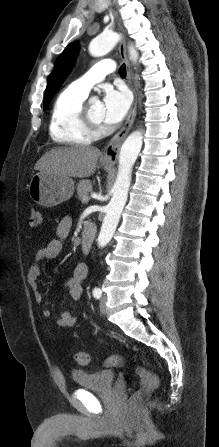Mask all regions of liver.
I'll list each match as a JSON object with an SVG mask.
<instances>
[{"mask_svg": "<svg viewBox=\"0 0 219 447\" xmlns=\"http://www.w3.org/2000/svg\"><path fill=\"white\" fill-rule=\"evenodd\" d=\"M100 155V150L91 146L58 147L46 152L34 169L68 177H89L95 172Z\"/></svg>", "mask_w": 219, "mask_h": 447, "instance_id": "liver-1", "label": "liver"}]
</instances>
